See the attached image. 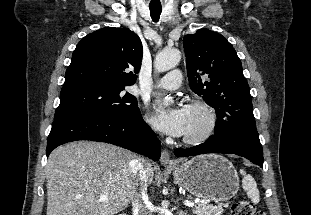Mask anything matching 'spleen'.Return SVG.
Returning <instances> with one entry per match:
<instances>
[{"label":"spleen","instance_id":"obj_1","mask_svg":"<svg viewBox=\"0 0 311 215\" xmlns=\"http://www.w3.org/2000/svg\"><path fill=\"white\" fill-rule=\"evenodd\" d=\"M240 173L243 175L242 187L247 192V196L250 200L257 204L260 201L259 190L257 189V184L254 178L248 174L244 170H240Z\"/></svg>","mask_w":311,"mask_h":215}]
</instances>
